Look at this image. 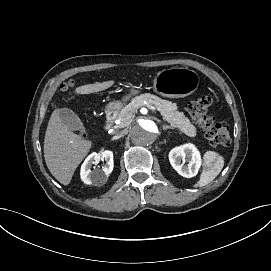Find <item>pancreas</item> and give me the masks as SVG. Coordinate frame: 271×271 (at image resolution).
Listing matches in <instances>:
<instances>
[{
  "label": "pancreas",
  "instance_id": "cf45deb5",
  "mask_svg": "<svg viewBox=\"0 0 271 271\" xmlns=\"http://www.w3.org/2000/svg\"><path fill=\"white\" fill-rule=\"evenodd\" d=\"M141 104H150L160 111L161 115L167 120L173 127H177L185 133L187 136L194 137L196 135V127L191 124L190 120L184 116L182 112H178V106L172 104L167 100H163L155 95L145 94L142 95ZM139 106L137 105V98L134 99L128 106L123 108L118 119L120 124L118 128L129 126L134 118V113L137 111Z\"/></svg>",
  "mask_w": 271,
  "mask_h": 271
}]
</instances>
